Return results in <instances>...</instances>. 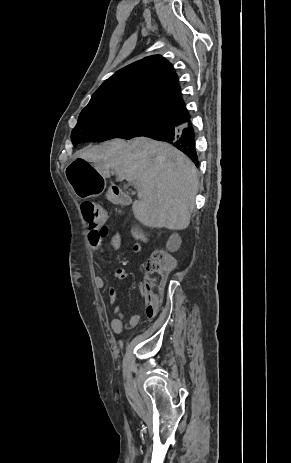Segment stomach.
<instances>
[{
    "label": "stomach",
    "instance_id": "0dacf381",
    "mask_svg": "<svg viewBox=\"0 0 291 463\" xmlns=\"http://www.w3.org/2000/svg\"><path fill=\"white\" fill-rule=\"evenodd\" d=\"M66 181L80 199H86L100 194L104 190V180L94 165L85 160L76 159L69 162L66 169ZM111 199V196L109 195Z\"/></svg>",
    "mask_w": 291,
    "mask_h": 463
}]
</instances>
